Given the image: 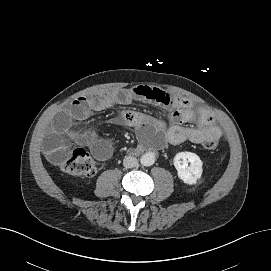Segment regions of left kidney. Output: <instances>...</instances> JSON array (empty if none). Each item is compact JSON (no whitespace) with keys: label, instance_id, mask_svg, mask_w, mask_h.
<instances>
[{"label":"left kidney","instance_id":"1","mask_svg":"<svg viewBox=\"0 0 271 271\" xmlns=\"http://www.w3.org/2000/svg\"><path fill=\"white\" fill-rule=\"evenodd\" d=\"M190 163V166H188ZM199 156L192 152H179L174 157V166L178 177L186 184H196L201 178L203 169Z\"/></svg>","mask_w":271,"mask_h":271}]
</instances>
